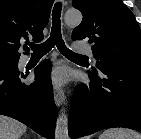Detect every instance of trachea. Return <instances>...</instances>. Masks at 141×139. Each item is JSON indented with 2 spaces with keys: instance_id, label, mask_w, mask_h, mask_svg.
<instances>
[{
  "instance_id": "1",
  "label": "trachea",
  "mask_w": 141,
  "mask_h": 139,
  "mask_svg": "<svg viewBox=\"0 0 141 139\" xmlns=\"http://www.w3.org/2000/svg\"><path fill=\"white\" fill-rule=\"evenodd\" d=\"M61 10L62 3L57 2L52 11V27L50 37L42 44H29L35 54L44 55L48 53L54 46L58 48L60 53L69 58H86L84 55L76 54L68 49L61 35Z\"/></svg>"
}]
</instances>
